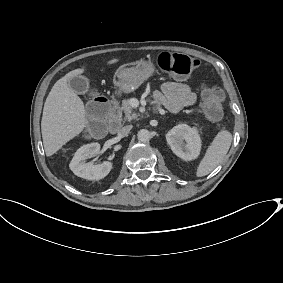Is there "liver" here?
Wrapping results in <instances>:
<instances>
[{"label": "liver", "mask_w": 283, "mask_h": 283, "mask_svg": "<svg viewBox=\"0 0 283 283\" xmlns=\"http://www.w3.org/2000/svg\"><path fill=\"white\" fill-rule=\"evenodd\" d=\"M121 58H113L106 66L116 64ZM87 72V68H77L59 79L51 89L43 109L41 134L47 157L57 153L70 140L80 135L87 127L85 106L68 82Z\"/></svg>", "instance_id": "1"}]
</instances>
